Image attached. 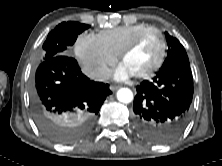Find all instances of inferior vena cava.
Wrapping results in <instances>:
<instances>
[{
	"mask_svg": "<svg viewBox=\"0 0 222 166\" xmlns=\"http://www.w3.org/2000/svg\"><path fill=\"white\" fill-rule=\"evenodd\" d=\"M86 75L95 81H106L111 77V71L108 67H100L88 70Z\"/></svg>",
	"mask_w": 222,
	"mask_h": 166,
	"instance_id": "obj_1",
	"label": "inferior vena cava"
}]
</instances>
